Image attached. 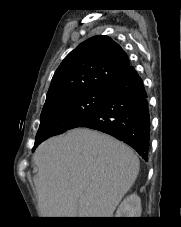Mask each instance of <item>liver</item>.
<instances>
[{"label":"liver","mask_w":181,"mask_h":227,"mask_svg":"<svg viewBox=\"0 0 181 227\" xmlns=\"http://www.w3.org/2000/svg\"><path fill=\"white\" fill-rule=\"evenodd\" d=\"M33 160L42 217H112L140 168L132 148L88 128L49 138Z\"/></svg>","instance_id":"liver-1"}]
</instances>
